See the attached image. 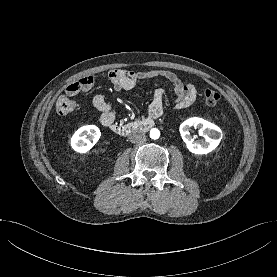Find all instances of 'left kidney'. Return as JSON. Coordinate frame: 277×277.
I'll return each instance as SVG.
<instances>
[{
  "label": "left kidney",
  "instance_id": "1",
  "mask_svg": "<svg viewBox=\"0 0 277 277\" xmlns=\"http://www.w3.org/2000/svg\"><path fill=\"white\" fill-rule=\"evenodd\" d=\"M198 128L199 134L205 138L201 143H197L190 135V128ZM180 134L183 141L186 143L187 149L198 155L207 154L213 151L220 143L222 139L221 129L199 117H192L184 121L180 125Z\"/></svg>",
  "mask_w": 277,
  "mask_h": 277
}]
</instances>
